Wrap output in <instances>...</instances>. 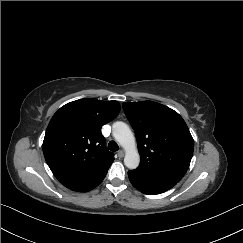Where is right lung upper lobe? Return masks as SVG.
Instances as JSON below:
<instances>
[{
  "label": "right lung upper lobe",
  "mask_w": 243,
  "mask_h": 243,
  "mask_svg": "<svg viewBox=\"0 0 243 243\" xmlns=\"http://www.w3.org/2000/svg\"><path fill=\"white\" fill-rule=\"evenodd\" d=\"M119 112L117 101L85 98L67 103L53 115L45 133L43 153L63 185L86 178L113 162L114 154L106 149L101 128Z\"/></svg>",
  "instance_id": "right-lung-upper-lobe-1"
}]
</instances>
